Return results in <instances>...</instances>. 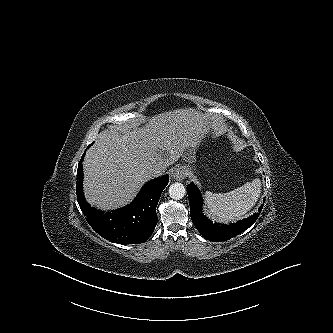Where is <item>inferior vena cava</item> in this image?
<instances>
[{"mask_svg": "<svg viewBox=\"0 0 333 333\" xmlns=\"http://www.w3.org/2000/svg\"><path fill=\"white\" fill-rule=\"evenodd\" d=\"M148 171L151 176H158L164 172V170L157 165L151 166Z\"/></svg>", "mask_w": 333, "mask_h": 333, "instance_id": "1", "label": "inferior vena cava"}]
</instances>
